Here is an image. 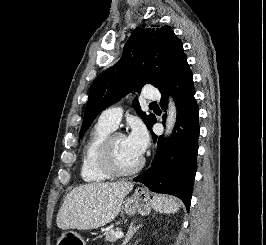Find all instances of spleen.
<instances>
[{
    "label": "spleen",
    "mask_w": 266,
    "mask_h": 245,
    "mask_svg": "<svg viewBox=\"0 0 266 245\" xmlns=\"http://www.w3.org/2000/svg\"><path fill=\"white\" fill-rule=\"evenodd\" d=\"M152 207L159 213H177L179 211V205L177 199H171V197H164V195H155L152 201Z\"/></svg>",
    "instance_id": "3e777b00"
}]
</instances>
